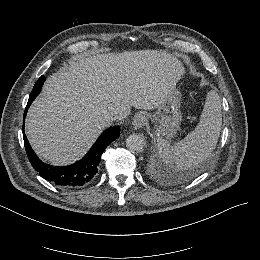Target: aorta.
<instances>
[{"mask_svg":"<svg viewBox=\"0 0 260 260\" xmlns=\"http://www.w3.org/2000/svg\"><path fill=\"white\" fill-rule=\"evenodd\" d=\"M126 147L132 153H140L146 147V140L141 134H131L126 139Z\"/></svg>","mask_w":260,"mask_h":260,"instance_id":"obj_1","label":"aorta"}]
</instances>
